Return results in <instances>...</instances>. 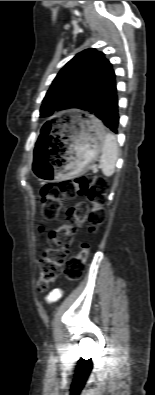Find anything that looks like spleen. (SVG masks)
<instances>
[{"label":"spleen","instance_id":"obj_1","mask_svg":"<svg viewBox=\"0 0 155 395\" xmlns=\"http://www.w3.org/2000/svg\"><path fill=\"white\" fill-rule=\"evenodd\" d=\"M102 172L105 176H111L115 171V165L118 158V145L113 134H105L102 145Z\"/></svg>","mask_w":155,"mask_h":395}]
</instances>
